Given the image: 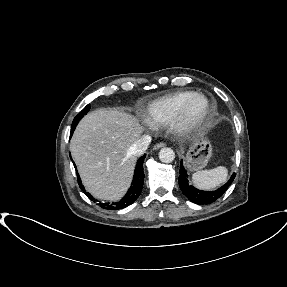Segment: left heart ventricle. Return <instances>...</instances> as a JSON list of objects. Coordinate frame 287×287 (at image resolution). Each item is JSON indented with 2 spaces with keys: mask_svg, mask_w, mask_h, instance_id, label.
Returning a JSON list of instances; mask_svg holds the SVG:
<instances>
[{
  "mask_svg": "<svg viewBox=\"0 0 287 287\" xmlns=\"http://www.w3.org/2000/svg\"><path fill=\"white\" fill-rule=\"evenodd\" d=\"M204 109V103L203 102H196L193 109H192V114L194 116L199 115Z\"/></svg>",
  "mask_w": 287,
  "mask_h": 287,
  "instance_id": "left-heart-ventricle-1",
  "label": "left heart ventricle"
}]
</instances>
